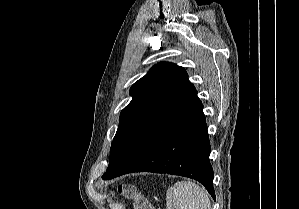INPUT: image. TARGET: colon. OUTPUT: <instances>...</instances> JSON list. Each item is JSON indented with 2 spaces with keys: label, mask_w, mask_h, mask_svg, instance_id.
<instances>
[{
  "label": "colon",
  "mask_w": 299,
  "mask_h": 209,
  "mask_svg": "<svg viewBox=\"0 0 299 209\" xmlns=\"http://www.w3.org/2000/svg\"><path fill=\"white\" fill-rule=\"evenodd\" d=\"M118 192L125 198L133 200V209H152L150 203L132 184L118 186Z\"/></svg>",
  "instance_id": "1"
}]
</instances>
